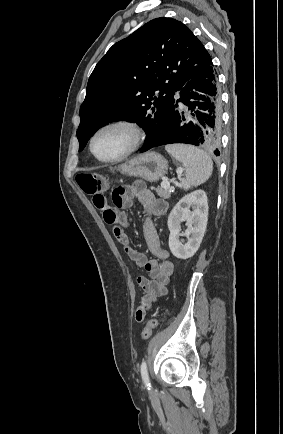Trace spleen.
Instances as JSON below:
<instances>
[{"instance_id": "spleen-1", "label": "spleen", "mask_w": 283, "mask_h": 434, "mask_svg": "<svg viewBox=\"0 0 283 434\" xmlns=\"http://www.w3.org/2000/svg\"><path fill=\"white\" fill-rule=\"evenodd\" d=\"M165 149L185 167V178L181 179L184 189L198 186L211 176L213 162L203 150L183 144L167 145Z\"/></svg>"}]
</instances>
